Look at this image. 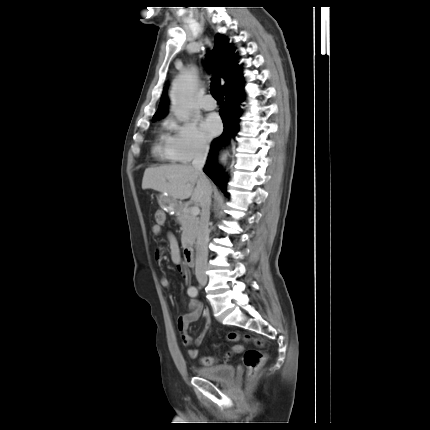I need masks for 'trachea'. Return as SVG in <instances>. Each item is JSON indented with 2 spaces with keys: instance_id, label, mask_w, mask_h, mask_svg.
<instances>
[{
  "instance_id": "1",
  "label": "trachea",
  "mask_w": 430,
  "mask_h": 430,
  "mask_svg": "<svg viewBox=\"0 0 430 430\" xmlns=\"http://www.w3.org/2000/svg\"><path fill=\"white\" fill-rule=\"evenodd\" d=\"M211 94L213 95V97L217 100H224V96H223V92H222V88H221V84L220 81L215 78L211 84Z\"/></svg>"
}]
</instances>
